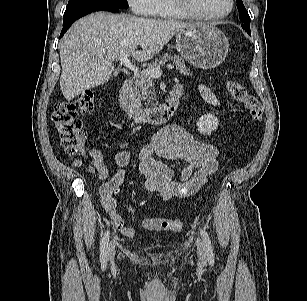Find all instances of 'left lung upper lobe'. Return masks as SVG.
<instances>
[{
    "instance_id": "left-lung-upper-lobe-1",
    "label": "left lung upper lobe",
    "mask_w": 307,
    "mask_h": 301,
    "mask_svg": "<svg viewBox=\"0 0 307 301\" xmlns=\"http://www.w3.org/2000/svg\"><path fill=\"white\" fill-rule=\"evenodd\" d=\"M237 1V8L239 11V18L242 21V27L245 29V31L250 32V16L243 5L242 0H236Z\"/></svg>"
}]
</instances>
